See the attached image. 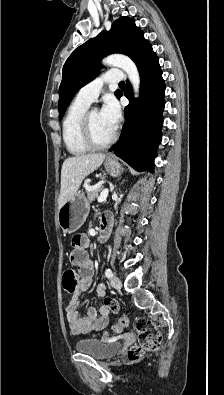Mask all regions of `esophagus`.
<instances>
[{"instance_id": "34e87169", "label": "esophagus", "mask_w": 224, "mask_h": 395, "mask_svg": "<svg viewBox=\"0 0 224 395\" xmlns=\"http://www.w3.org/2000/svg\"><path fill=\"white\" fill-rule=\"evenodd\" d=\"M112 158H113V156H112V155H109V156H108V159H112Z\"/></svg>"}]
</instances>
